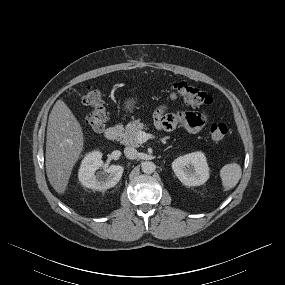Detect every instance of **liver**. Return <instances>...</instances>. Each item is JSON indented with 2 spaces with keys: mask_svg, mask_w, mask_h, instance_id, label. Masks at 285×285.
I'll use <instances>...</instances> for the list:
<instances>
[{
  "mask_svg": "<svg viewBox=\"0 0 285 285\" xmlns=\"http://www.w3.org/2000/svg\"><path fill=\"white\" fill-rule=\"evenodd\" d=\"M83 145L80 123L69 107L58 100L49 115L45 154L47 177L57 193L63 194L66 191Z\"/></svg>",
  "mask_w": 285,
  "mask_h": 285,
  "instance_id": "1",
  "label": "liver"
}]
</instances>
